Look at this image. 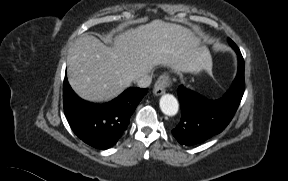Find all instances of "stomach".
Here are the masks:
<instances>
[{"mask_svg": "<svg viewBox=\"0 0 288 181\" xmlns=\"http://www.w3.org/2000/svg\"><path fill=\"white\" fill-rule=\"evenodd\" d=\"M196 59V73L207 71L211 69L212 59L211 55L206 47L198 48L195 54Z\"/></svg>", "mask_w": 288, "mask_h": 181, "instance_id": "1", "label": "stomach"}]
</instances>
